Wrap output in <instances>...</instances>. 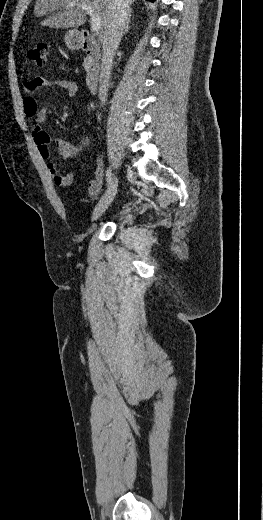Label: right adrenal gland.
<instances>
[{
  "instance_id": "1",
  "label": "right adrenal gland",
  "mask_w": 263,
  "mask_h": 520,
  "mask_svg": "<svg viewBox=\"0 0 263 520\" xmlns=\"http://www.w3.org/2000/svg\"><path fill=\"white\" fill-rule=\"evenodd\" d=\"M131 14H132V9L129 11V14H128L126 26H125V29H124V34H126L129 31V25L131 23Z\"/></svg>"
}]
</instances>
